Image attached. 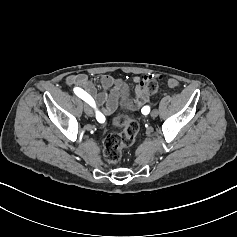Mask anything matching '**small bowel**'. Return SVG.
Listing matches in <instances>:
<instances>
[{"mask_svg":"<svg viewBox=\"0 0 237 237\" xmlns=\"http://www.w3.org/2000/svg\"><path fill=\"white\" fill-rule=\"evenodd\" d=\"M152 78L151 75L136 77L135 82V100L134 106L139 107L147 104L149 98L143 92L144 84ZM67 85L73 88H80L89 94L94 102V107L99 110L102 115L113 113L119 103V96L122 89V83L114 79L112 76L104 74L99 78V84L104 90H109V93L98 92L94 82L85 74L70 75L66 78ZM167 85L170 88L178 86V81L169 79Z\"/></svg>","mask_w":237,"mask_h":237,"instance_id":"small-bowel-1","label":"small bowel"}]
</instances>
